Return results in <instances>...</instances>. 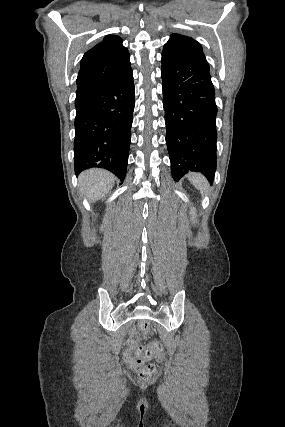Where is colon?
<instances>
[{
    "mask_svg": "<svg viewBox=\"0 0 285 427\" xmlns=\"http://www.w3.org/2000/svg\"><path fill=\"white\" fill-rule=\"evenodd\" d=\"M150 327L149 323L140 321L139 328L141 331L146 332ZM136 336V334H135ZM134 348L132 349V351ZM138 356L134 360L135 368L142 379H149L153 376L155 368L154 365L148 362L149 359H161L164 356V348L160 342L154 341L148 343L144 347L135 349Z\"/></svg>",
    "mask_w": 285,
    "mask_h": 427,
    "instance_id": "colon-1",
    "label": "colon"
}]
</instances>
